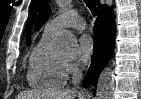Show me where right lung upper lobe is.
Returning <instances> with one entry per match:
<instances>
[{"label":"right lung upper lobe","mask_w":141,"mask_h":99,"mask_svg":"<svg viewBox=\"0 0 141 99\" xmlns=\"http://www.w3.org/2000/svg\"><path fill=\"white\" fill-rule=\"evenodd\" d=\"M50 12H51L50 6L45 1H42L40 10H39L38 19L35 24V28L37 30L41 27L43 23L46 22V20L48 19L50 15Z\"/></svg>","instance_id":"cb5924a9"}]
</instances>
